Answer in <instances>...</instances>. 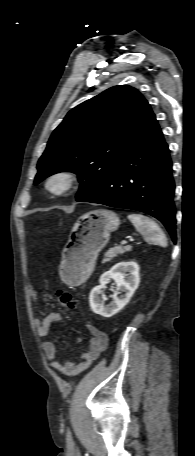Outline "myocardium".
Returning <instances> with one entry per match:
<instances>
[{"mask_svg": "<svg viewBox=\"0 0 195 456\" xmlns=\"http://www.w3.org/2000/svg\"><path fill=\"white\" fill-rule=\"evenodd\" d=\"M77 177L71 171H58L47 177L45 190L54 196H63L69 193L76 184Z\"/></svg>", "mask_w": 195, "mask_h": 456, "instance_id": "1", "label": "myocardium"}]
</instances>
